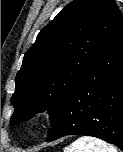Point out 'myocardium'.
<instances>
[{
	"instance_id": "1",
	"label": "myocardium",
	"mask_w": 123,
	"mask_h": 152,
	"mask_svg": "<svg viewBox=\"0 0 123 152\" xmlns=\"http://www.w3.org/2000/svg\"><path fill=\"white\" fill-rule=\"evenodd\" d=\"M43 118L41 116H34L30 119L29 125L32 129H39L43 125Z\"/></svg>"
}]
</instances>
